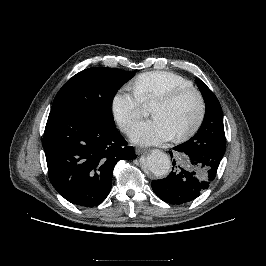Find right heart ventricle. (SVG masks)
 Listing matches in <instances>:
<instances>
[{
	"label": "right heart ventricle",
	"instance_id": "e07e8e85",
	"mask_svg": "<svg viewBox=\"0 0 266 266\" xmlns=\"http://www.w3.org/2000/svg\"><path fill=\"white\" fill-rule=\"evenodd\" d=\"M132 87L144 104H152L173 90L191 87V82L174 72L157 70L138 75Z\"/></svg>",
	"mask_w": 266,
	"mask_h": 266
}]
</instances>
